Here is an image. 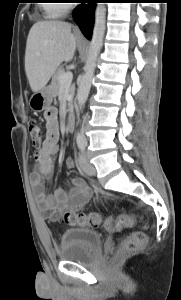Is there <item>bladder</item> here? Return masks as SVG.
Masks as SVG:
<instances>
[{
  "label": "bladder",
  "instance_id": "31cf9c89",
  "mask_svg": "<svg viewBox=\"0 0 181 300\" xmlns=\"http://www.w3.org/2000/svg\"><path fill=\"white\" fill-rule=\"evenodd\" d=\"M102 245V235L91 228L67 229L60 238V256L64 261H88Z\"/></svg>",
  "mask_w": 181,
  "mask_h": 300
}]
</instances>
